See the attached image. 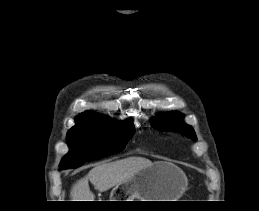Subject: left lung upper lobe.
<instances>
[{"mask_svg": "<svg viewBox=\"0 0 259 211\" xmlns=\"http://www.w3.org/2000/svg\"><path fill=\"white\" fill-rule=\"evenodd\" d=\"M183 115L179 112H170L165 115H159L156 119L151 121L154 128L164 131H176L196 140V135L193 128L183 122Z\"/></svg>", "mask_w": 259, "mask_h": 211, "instance_id": "left-lung-upper-lobe-1", "label": "left lung upper lobe"}]
</instances>
